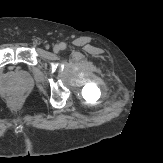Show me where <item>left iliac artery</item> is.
<instances>
[{
  "label": "left iliac artery",
  "instance_id": "left-iliac-artery-1",
  "mask_svg": "<svg viewBox=\"0 0 163 163\" xmlns=\"http://www.w3.org/2000/svg\"><path fill=\"white\" fill-rule=\"evenodd\" d=\"M60 49L65 50L66 49V44L64 42L60 43Z\"/></svg>",
  "mask_w": 163,
  "mask_h": 163
}]
</instances>
